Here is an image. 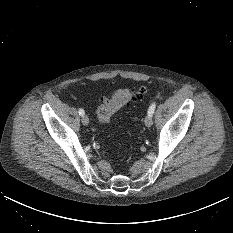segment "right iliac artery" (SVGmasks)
<instances>
[{
    "instance_id": "right-iliac-artery-1",
    "label": "right iliac artery",
    "mask_w": 233,
    "mask_h": 233,
    "mask_svg": "<svg viewBox=\"0 0 233 233\" xmlns=\"http://www.w3.org/2000/svg\"><path fill=\"white\" fill-rule=\"evenodd\" d=\"M78 112H79V115H81V116L85 114V112L82 108H80Z\"/></svg>"
}]
</instances>
